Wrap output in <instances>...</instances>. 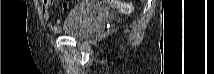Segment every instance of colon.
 <instances>
[{"mask_svg": "<svg viewBox=\"0 0 214 74\" xmlns=\"http://www.w3.org/2000/svg\"><path fill=\"white\" fill-rule=\"evenodd\" d=\"M112 6L118 8L122 12H130L132 10V6L129 3L121 2V1H113Z\"/></svg>", "mask_w": 214, "mask_h": 74, "instance_id": "5ec220e1", "label": "colon"}]
</instances>
